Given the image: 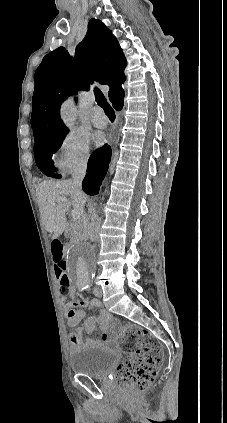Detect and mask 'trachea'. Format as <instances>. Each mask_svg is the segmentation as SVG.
I'll return each mask as SVG.
<instances>
[{"label": "trachea", "instance_id": "trachea-1", "mask_svg": "<svg viewBox=\"0 0 227 423\" xmlns=\"http://www.w3.org/2000/svg\"><path fill=\"white\" fill-rule=\"evenodd\" d=\"M94 93H95L97 104L101 108H103L105 114L108 117H115V113H114L113 108L111 107V105H109V103L107 102V100H106L104 94L101 92V90H99V88H95Z\"/></svg>", "mask_w": 227, "mask_h": 423}]
</instances>
